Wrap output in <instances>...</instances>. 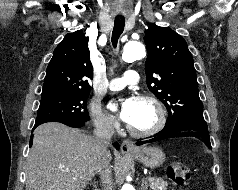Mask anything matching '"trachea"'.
I'll return each mask as SVG.
<instances>
[{
    "mask_svg": "<svg viewBox=\"0 0 238 190\" xmlns=\"http://www.w3.org/2000/svg\"><path fill=\"white\" fill-rule=\"evenodd\" d=\"M124 26H125L124 18L115 19L114 28H113V32H112V39H111L114 47L117 46L118 39L124 30Z\"/></svg>",
    "mask_w": 238,
    "mask_h": 190,
    "instance_id": "3493384b",
    "label": "trachea"
}]
</instances>
